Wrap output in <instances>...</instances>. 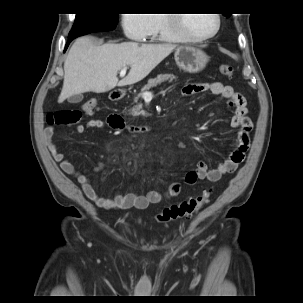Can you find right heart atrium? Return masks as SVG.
Here are the masks:
<instances>
[{
	"mask_svg": "<svg viewBox=\"0 0 303 303\" xmlns=\"http://www.w3.org/2000/svg\"><path fill=\"white\" fill-rule=\"evenodd\" d=\"M121 27L128 39L143 41L151 33L154 22L151 14H124Z\"/></svg>",
	"mask_w": 303,
	"mask_h": 303,
	"instance_id": "1",
	"label": "right heart atrium"
}]
</instances>
